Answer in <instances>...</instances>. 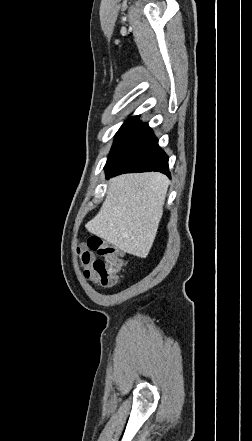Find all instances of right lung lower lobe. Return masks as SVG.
<instances>
[{
	"label": "right lung lower lobe",
	"mask_w": 252,
	"mask_h": 441,
	"mask_svg": "<svg viewBox=\"0 0 252 441\" xmlns=\"http://www.w3.org/2000/svg\"><path fill=\"white\" fill-rule=\"evenodd\" d=\"M105 170L107 178L147 171H159L170 176L168 156L158 146V140L148 124L140 122L113 159L106 163Z\"/></svg>",
	"instance_id": "98d812e1"
}]
</instances>
